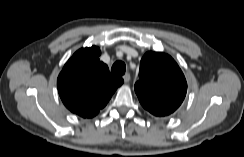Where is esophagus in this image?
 <instances>
[{"label": "esophagus", "mask_w": 244, "mask_h": 157, "mask_svg": "<svg viewBox=\"0 0 244 157\" xmlns=\"http://www.w3.org/2000/svg\"><path fill=\"white\" fill-rule=\"evenodd\" d=\"M123 79L125 83H128L130 81V74L126 73L125 75H123Z\"/></svg>", "instance_id": "1"}]
</instances>
